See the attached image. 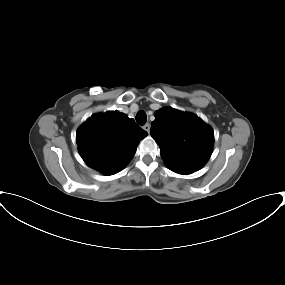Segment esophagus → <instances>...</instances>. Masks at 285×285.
Instances as JSON below:
<instances>
[{"instance_id": "obj_1", "label": "esophagus", "mask_w": 285, "mask_h": 285, "mask_svg": "<svg viewBox=\"0 0 285 285\" xmlns=\"http://www.w3.org/2000/svg\"><path fill=\"white\" fill-rule=\"evenodd\" d=\"M143 129L146 131V132H150V124L149 123H146L144 126H143Z\"/></svg>"}]
</instances>
